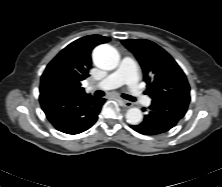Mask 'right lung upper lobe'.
<instances>
[{
    "mask_svg": "<svg viewBox=\"0 0 222 187\" xmlns=\"http://www.w3.org/2000/svg\"><path fill=\"white\" fill-rule=\"evenodd\" d=\"M109 40V37L89 35L72 42L48 64L41 77V85L50 80L76 95H87L81 81L89 76L91 51Z\"/></svg>",
    "mask_w": 222,
    "mask_h": 187,
    "instance_id": "1",
    "label": "right lung upper lobe"
}]
</instances>
